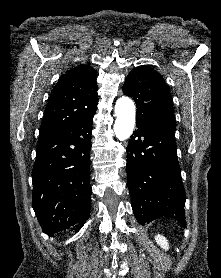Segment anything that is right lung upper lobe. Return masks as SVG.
Returning a JSON list of instances; mask_svg holds the SVG:
<instances>
[{"label":"right lung upper lobe","instance_id":"cb5924a9","mask_svg":"<svg viewBox=\"0 0 221 278\" xmlns=\"http://www.w3.org/2000/svg\"><path fill=\"white\" fill-rule=\"evenodd\" d=\"M97 72L89 65L66 71L53 88L39 131L38 144L95 114L98 104Z\"/></svg>","mask_w":221,"mask_h":278}]
</instances>
